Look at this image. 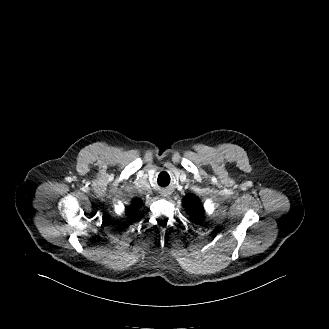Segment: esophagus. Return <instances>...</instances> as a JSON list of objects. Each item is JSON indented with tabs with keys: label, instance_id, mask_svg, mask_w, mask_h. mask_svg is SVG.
<instances>
[{
	"label": "esophagus",
	"instance_id": "34e87169",
	"mask_svg": "<svg viewBox=\"0 0 329 329\" xmlns=\"http://www.w3.org/2000/svg\"><path fill=\"white\" fill-rule=\"evenodd\" d=\"M167 195H168V194H166V193H163V196H164V197H166Z\"/></svg>",
	"mask_w": 329,
	"mask_h": 329
}]
</instances>
